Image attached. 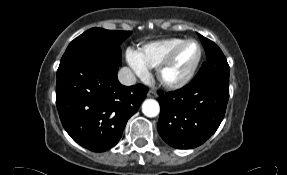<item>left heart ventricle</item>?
Listing matches in <instances>:
<instances>
[{
    "instance_id": "1",
    "label": "left heart ventricle",
    "mask_w": 287,
    "mask_h": 175,
    "mask_svg": "<svg viewBox=\"0 0 287 175\" xmlns=\"http://www.w3.org/2000/svg\"><path fill=\"white\" fill-rule=\"evenodd\" d=\"M198 52V46L195 43L185 45L165 72V77L169 80H177L186 75L194 65Z\"/></svg>"
}]
</instances>
